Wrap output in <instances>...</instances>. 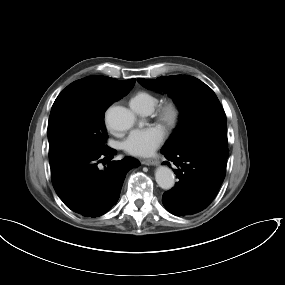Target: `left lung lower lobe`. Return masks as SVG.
Returning a JSON list of instances; mask_svg holds the SVG:
<instances>
[{"mask_svg":"<svg viewBox=\"0 0 285 285\" xmlns=\"http://www.w3.org/2000/svg\"><path fill=\"white\" fill-rule=\"evenodd\" d=\"M227 147L201 144L178 151L162 150L179 181L165 192L162 202L176 216H187L205 209L215 198L226 174Z\"/></svg>","mask_w":285,"mask_h":285,"instance_id":"obj_1","label":"left lung lower lobe"}]
</instances>
